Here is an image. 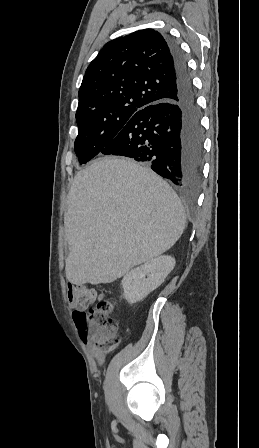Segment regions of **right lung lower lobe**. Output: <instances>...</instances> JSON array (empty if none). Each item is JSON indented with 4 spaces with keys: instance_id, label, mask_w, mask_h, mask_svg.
<instances>
[{
    "instance_id": "1",
    "label": "right lung lower lobe",
    "mask_w": 259,
    "mask_h": 448,
    "mask_svg": "<svg viewBox=\"0 0 259 448\" xmlns=\"http://www.w3.org/2000/svg\"><path fill=\"white\" fill-rule=\"evenodd\" d=\"M176 72L172 97L137 112L101 151L151 166L177 186H195L203 161V132L189 70L179 46L166 39Z\"/></svg>"
}]
</instances>
